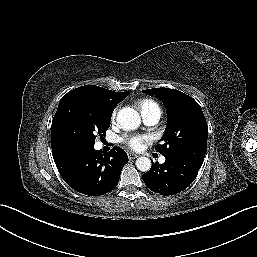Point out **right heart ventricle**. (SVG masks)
Here are the masks:
<instances>
[{
	"label": "right heart ventricle",
	"mask_w": 257,
	"mask_h": 257,
	"mask_svg": "<svg viewBox=\"0 0 257 257\" xmlns=\"http://www.w3.org/2000/svg\"><path fill=\"white\" fill-rule=\"evenodd\" d=\"M137 106L142 114L150 113V112H159L161 113V109L159 104L151 98H143L137 102Z\"/></svg>",
	"instance_id": "obj_1"
}]
</instances>
